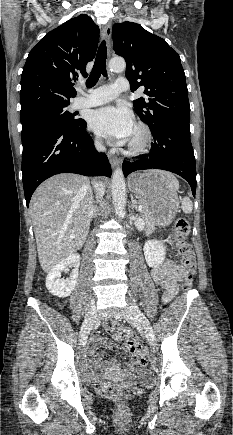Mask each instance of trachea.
<instances>
[{
  "label": "trachea",
  "mask_w": 233,
  "mask_h": 435,
  "mask_svg": "<svg viewBox=\"0 0 233 435\" xmlns=\"http://www.w3.org/2000/svg\"><path fill=\"white\" fill-rule=\"evenodd\" d=\"M106 59H107L106 43L105 41H102L96 55V60L92 72L86 81V86L88 88L93 87L98 82L101 74L105 77L107 76Z\"/></svg>",
  "instance_id": "1"
}]
</instances>
